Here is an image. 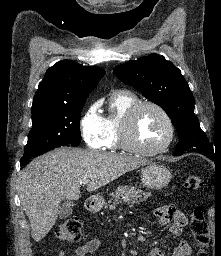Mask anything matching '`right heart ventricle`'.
Wrapping results in <instances>:
<instances>
[{
    "label": "right heart ventricle",
    "mask_w": 221,
    "mask_h": 256,
    "mask_svg": "<svg viewBox=\"0 0 221 256\" xmlns=\"http://www.w3.org/2000/svg\"><path fill=\"white\" fill-rule=\"evenodd\" d=\"M138 102L137 97L125 91L115 92L109 99L108 115L104 117L106 139L104 148L110 151L124 149L120 130L128 109Z\"/></svg>",
    "instance_id": "right-heart-ventricle-1"
}]
</instances>
